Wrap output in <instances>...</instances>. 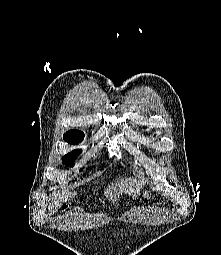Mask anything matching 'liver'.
Returning <instances> with one entry per match:
<instances>
[{"instance_id":"6515ba94","label":"liver","mask_w":221,"mask_h":255,"mask_svg":"<svg viewBox=\"0 0 221 255\" xmlns=\"http://www.w3.org/2000/svg\"><path fill=\"white\" fill-rule=\"evenodd\" d=\"M141 184L142 183L137 182V180L134 178L125 177L124 179L120 177L115 183L108 185V187L104 190V196L109 198V201L111 200L112 202L119 198L120 194L122 193L135 197L140 190ZM72 195L73 194L71 192H62L61 194L52 198L48 206L50 214L55 213L61 204L71 198Z\"/></svg>"}]
</instances>
